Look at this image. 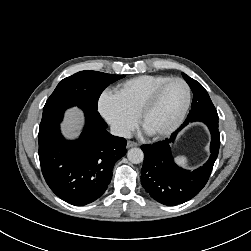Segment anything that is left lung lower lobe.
<instances>
[{
  "label": "left lung lower lobe",
  "instance_id": "0a47b994",
  "mask_svg": "<svg viewBox=\"0 0 251 251\" xmlns=\"http://www.w3.org/2000/svg\"><path fill=\"white\" fill-rule=\"evenodd\" d=\"M201 121L211 132V155L209 160L196 170L178 167L172 158L171 147L178 132L188 123ZM220 135L218 118L198 117L185 122L170 139L154 145H143L144 162L141 170V184L153 199L164 205L182 204L197 195L207 183L218 156Z\"/></svg>",
  "mask_w": 251,
  "mask_h": 251
}]
</instances>
